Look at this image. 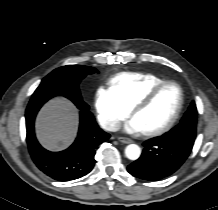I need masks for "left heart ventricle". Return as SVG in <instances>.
I'll list each match as a JSON object with an SVG mask.
<instances>
[{
	"label": "left heart ventricle",
	"instance_id": "1",
	"mask_svg": "<svg viewBox=\"0 0 218 210\" xmlns=\"http://www.w3.org/2000/svg\"><path fill=\"white\" fill-rule=\"evenodd\" d=\"M179 103V91L175 85H167L144 109L133 117L142 132L159 129L173 117Z\"/></svg>",
	"mask_w": 218,
	"mask_h": 210
}]
</instances>
